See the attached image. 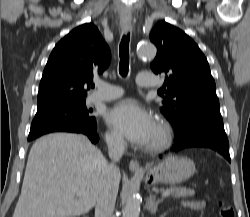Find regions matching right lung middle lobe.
Wrapping results in <instances>:
<instances>
[{"mask_svg":"<svg viewBox=\"0 0 250 217\" xmlns=\"http://www.w3.org/2000/svg\"><path fill=\"white\" fill-rule=\"evenodd\" d=\"M85 100L56 103L37 110L32 121L28 141L51 132H90L96 128V119L90 115Z\"/></svg>","mask_w":250,"mask_h":217,"instance_id":"right-lung-middle-lobe-1","label":"right lung middle lobe"}]
</instances>
